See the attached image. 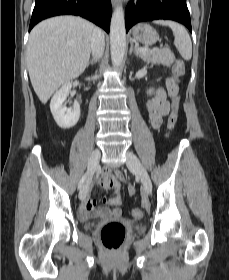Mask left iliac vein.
<instances>
[{
	"mask_svg": "<svg viewBox=\"0 0 229 280\" xmlns=\"http://www.w3.org/2000/svg\"><path fill=\"white\" fill-rule=\"evenodd\" d=\"M126 156H127V160H126L127 167L131 171H134L136 173V175L140 178V181L143 185L145 192L147 194H151L152 183H151V179H150L145 167L143 166V164L141 163L139 158L132 152L128 151Z\"/></svg>",
	"mask_w": 229,
	"mask_h": 280,
	"instance_id": "4c4485c4",
	"label": "left iliac vein"
}]
</instances>
